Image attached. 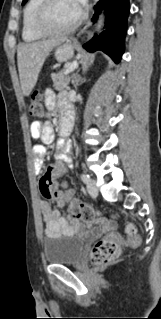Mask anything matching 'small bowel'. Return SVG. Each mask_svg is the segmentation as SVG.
<instances>
[{
	"instance_id": "obj_1",
	"label": "small bowel",
	"mask_w": 161,
	"mask_h": 319,
	"mask_svg": "<svg viewBox=\"0 0 161 319\" xmlns=\"http://www.w3.org/2000/svg\"><path fill=\"white\" fill-rule=\"evenodd\" d=\"M45 104L48 110L53 111L56 104L60 106L62 119L69 117L72 120L73 111L68 103V99L64 94L57 95L53 90L48 89L45 93ZM30 136L34 140H41L43 144H51L55 139L53 128L49 124H44L40 121H34L30 127ZM35 157L34 167L36 172H40L44 166V157L46 149L42 144L35 143L32 147ZM58 153L56 155L57 163L50 164L47 170L53 175H59L64 169L71 166L72 159L69 156L70 147L64 139H60L57 143ZM74 198V191L67 190L60 200H56L59 207H64L69 204ZM40 212L45 223L46 235H57L59 233L74 234L77 231H84L85 225L79 224L76 220H68L63 217L58 210L52 208L48 201H41L39 204ZM98 225L99 228L90 231L87 234L90 236H98L106 231L114 229V226L107 218H96L89 222V225Z\"/></svg>"
}]
</instances>
